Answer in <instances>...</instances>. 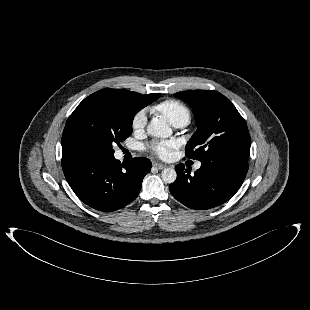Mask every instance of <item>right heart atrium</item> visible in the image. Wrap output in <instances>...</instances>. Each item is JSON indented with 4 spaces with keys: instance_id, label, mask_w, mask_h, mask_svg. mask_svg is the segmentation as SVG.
I'll return each mask as SVG.
<instances>
[{
    "instance_id": "obj_1",
    "label": "right heart atrium",
    "mask_w": 310,
    "mask_h": 310,
    "mask_svg": "<svg viewBox=\"0 0 310 310\" xmlns=\"http://www.w3.org/2000/svg\"><path fill=\"white\" fill-rule=\"evenodd\" d=\"M146 114L143 111H139L138 113H136V115L133 118L132 121V129L135 132H140L144 129L145 125H146Z\"/></svg>"
}]
</instances>
